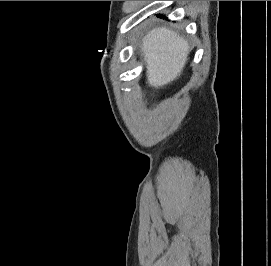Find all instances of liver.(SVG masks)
I'll return each instance as SVG.
<instances>
[{"instance_id": "1", "label": "liver", "mask_w": 271, "mask_h": 266, "mask_svg": "<svg viewBox=\"0 0 271 266\" xmlns=\"http://www.w3.org/2000/svg\"><path fill=\"white\" fill-rule=\"evenodd\" d=\"M147 82L158 88L180 76L189 54L188 42L165 27L154 28L143 38Z\"/></svg>"}]
</instances>
